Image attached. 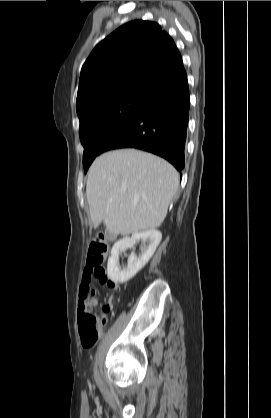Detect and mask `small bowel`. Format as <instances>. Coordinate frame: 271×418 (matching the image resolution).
<instances>
[{
	"instance_id": "1",
	"label": "small bowel",
	"mask_w": 271,
	"mask_h": 418,
	"mask_svg": "<svg viewBox=\"0 0 271 418\" xmlns=\"http://www.w3.org/2000/svg\"><path fill=\"white\" fill-rule=\"evenodd\" d=\"M103 284H105L109 288H112V289H115V290L119 289L118 285L115 284L114 282L110 281V280H107ZM89 287H90V281L87 278V270L85 268L84 273H83V277H82V284H81V287H80V304H79L80 310H82V309L91 310L97 304V300L95 298H92L88 301L83 300V294H84L85 290Z\"/></svg>"
}]
</instances>
